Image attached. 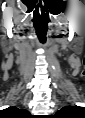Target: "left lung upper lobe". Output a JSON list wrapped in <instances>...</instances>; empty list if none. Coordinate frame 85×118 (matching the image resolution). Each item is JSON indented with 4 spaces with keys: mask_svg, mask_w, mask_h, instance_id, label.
Segmentation results:
<instances>
[{
    "mask_svg": "<svg viewBox=\"0 0 85 118\" xmlns=\"http://www.w3.org/2000/svg\"><path fill=\"white\" fill-rule=\"evenodd\" d=\"M72 109H73L72 106L63 107L61 110L58 111V113L65 114V113H68L69 111H71Z\"/></svg>",
    "mask_w": 85,
    "mask_h": 118,
    "instance_id": "1",
    "label": "left lung upper lobe"
}]
</instances>
